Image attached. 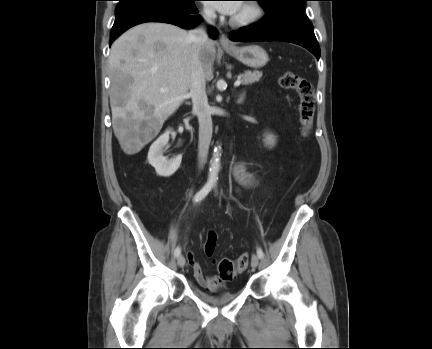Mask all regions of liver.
Instances as JSON below:
<instances>
[{"mask_svg": "<svg viewBox=\"0 0 432 349\" xmlns=\"http://www.w3.org/2000/svg\"><path fill=\"white\" fill-rule=\"evenodd\" d=\"M188 35L174 25L145 23L112 44L108 60L112 125L125 154L140 152L188 97L193 50ZM199 56L205 78L212 79L215 43H205Z\"/></svg>", "mask_w": 432, "mask_h": 349, "instance_id": "6515ba94", "label": "liver"}]
</instances>
